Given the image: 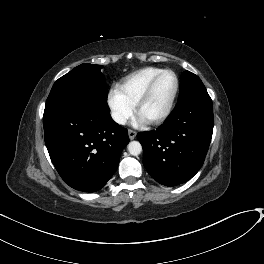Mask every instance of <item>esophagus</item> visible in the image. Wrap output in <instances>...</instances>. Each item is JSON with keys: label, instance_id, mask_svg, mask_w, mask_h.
<instances>
[{"label": "esophagus", "instance_id": "34e87169", "mask_svg": "<svg viewBox=\"0 0 264 264\" xmlns=\"http://www.w3.org/2000/svg\"><path fill=\"white\" fill-rule=\"evenodd\" d=\"M128 135H129V138L131 139V140H133V139H135V137H136V135H137V132L136 131H134V130H128Z\"/></svg>", "mask_w": 264, "mask_h": 264}]
</instances>
